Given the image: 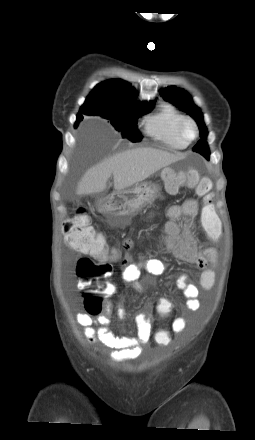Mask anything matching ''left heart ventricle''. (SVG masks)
Masks as SVG:
<instances>
[{
    "label": "left heart ventricle",
    "instance_id": "b2bd125f",
    "mask_svg": "<svg viewBox=\"0 0 255 440\" xmlns=\"http://www.w3.org/2000/svg\"><path fill=\"white\" fill-rule=\"evenodd\" d=\"M185 134H186L188 137H191V136L193 135V129H192L191 127H186V128H185Z\"/></svg>",
    "mask_w": 255,
    "mask_h": 440
}]
</instances>
